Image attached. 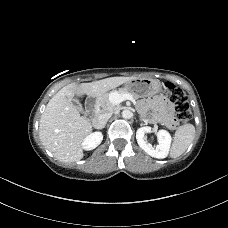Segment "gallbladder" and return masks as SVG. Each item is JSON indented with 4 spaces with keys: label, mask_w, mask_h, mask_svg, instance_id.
Returning <instances> with one entry per match:
<instances>
[{
    "label": "gallbladder",
    "mask_w": 228,
    "mask_h": 228,
    "mask_svg": "<svg viewBox=\"0 0 228 228\" xmlns=\"http://www.w3.org/2000/svg\"><path fill=\"white\" fill-rule=\"evenodd\" d=\"M70 100H71L72 103L75 104L76 108H77L79 111H81V112L84 111L82 105L79 103L78 100H76L75 98H71Z\"/></svg>",
    "instance_id": "bac80fb5"
}]
</instances>
